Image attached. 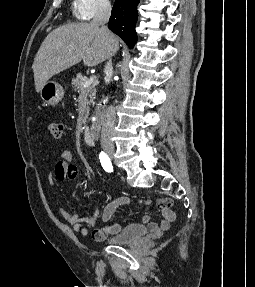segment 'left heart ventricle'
Here are the masks:
<instances>
[{"instance_id": "1", "label": "left heart ventricle", "mask_w": 255, "mask_h": 287, "mask_svg": "<svg viewBox=\"0 0 255 287\" xmlns=\"http://www.w3.org/2000/svg\"><path fill=\"white\" fill-rule=\"evenodd\" d=\"M93 33H102V32H93ZM91 39H103V38H91ZM88 48H100V47H88Z\"/></svg>"}]
</instances>
